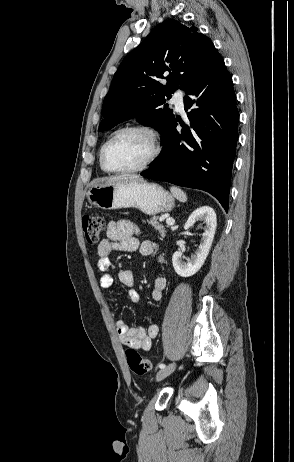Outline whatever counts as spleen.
Wrapping results in <instances>:
<instances>
[{
  "label": "spleen",
  "mask_w": 294,
  "mask_h": 462,
  "mask_svg": "<svg viewBox=\"0 0 294 462\" xmlns=\"http://www.w3.org/2000/svg\"><path fill=\"white\" fill-rule=\"evenodd\" d=\"M170 191H171L172 195L176 199H178L179 201H181V202L187 201L186 194L180 188L173 186V187L170 188Z\"/></svg>",
  "instance_id": "3e777b00"
}]
</instances>
